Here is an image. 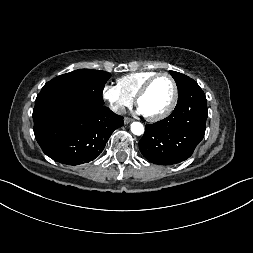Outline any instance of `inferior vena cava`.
I'll return each instance as SVG.
<instances>
[{
    "label": "inferior vena cava",
    "instance_id": "602c4592",
    "mask_svg": "<svg viewBox=\"0 0 253 253\" xmlns=\"http://www.w3.org/2000/svg\"><path fill=\"white\" fill-rule=\"evenodd\" d=\"M110 109L118 114H125L126 113V109L124 106H120L117 104H111L110 105Z\"/></svg>",
    "mask_w": 253,
    "mask_h": 253
}]
</instances>
